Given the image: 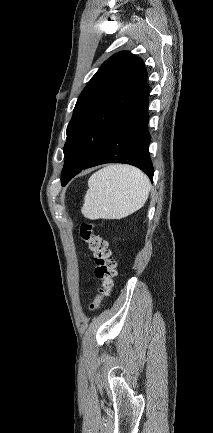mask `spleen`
<instances>
[{
  "instance_id": "obj_1",
  "label": "spleen",
  "mask_w": 213,
  "mask_h": 433,
  "mask_svg": "<svg viewBox=\"0 0 213 433\" xmlns=\"http://www.w3.org/2000/svg\"><path fill=\"white\" fill-rule=\"evenodd\" d=\"M82 214L91 220L121 219L139 210L146 202L151 184L139 169L129 165H109L88 181Z\"/></svg>"
}]
</instances>
